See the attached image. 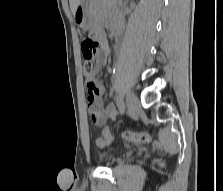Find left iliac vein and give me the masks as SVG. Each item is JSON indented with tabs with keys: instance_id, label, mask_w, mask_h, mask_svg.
Listing matches in <instances>:
<instances>
[{
	"instance_id": "left-iliac-vein-1",
	"label": "left iliac vein",
	"mask_w": 223,
	"mask_h": 191,
	"mask_svg": "<svg viewBox=\"0 0 223 191\" xmlns=\"http://www.w3.org/2000/svg\"><path fill=\"white\" fill-rule=\"evenodd\" d=\"M126 106L131 116H135L141 108L139 99L132 93L126 96Z\"/></svg>"
}]
</instances>
